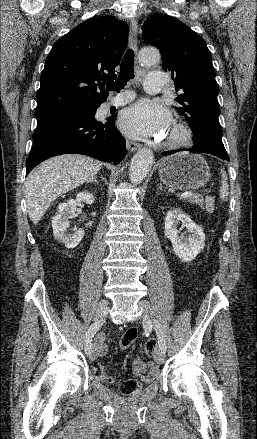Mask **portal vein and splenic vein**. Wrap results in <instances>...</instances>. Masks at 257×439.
Returning <instances> with one entry per match:
<instances>
[{
  "instance_id": "obj_1",
  "label": "portal vein and splenic vein",
  "mask_w": 257,
  "mask_h": 439,
  "mask_svg": "<svg viewBox=\"0 0 257 439\" xmlns=\"http://www.w3.org/2000/svg\"><path fill=\"white\" fill-rule=\"evenodd\" d=\"M193 195V193L191 191L188 192H184L180 195L181 198H189Z\"/></svg>"
}]
</instances>
